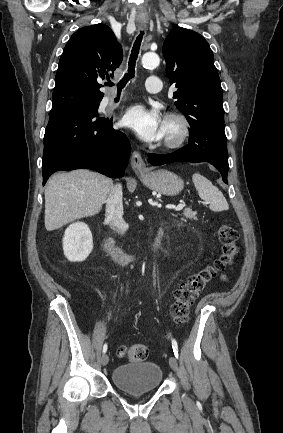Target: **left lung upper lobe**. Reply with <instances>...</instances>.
Returning <instances> with one entry per match:
<instances>
[{
	"label": "left lung upper lobe",
	"mask_w": 283,
	"mask_h": 433,
	"mask_svg": "<svg viewBox=\"0 0 283 433\" xmlns=\"http://www.w3.org/2000/svg\"><path fill=\"white\" fill-rule=\"evenodd\" d=\"M163 55L170 83L178 88L175 105L190 126L224 128L222 88L208 42L192 30L175 27L164 41Z\"/></svg>",
	"instance_id": "5c2ea615"
}]
</instances>
